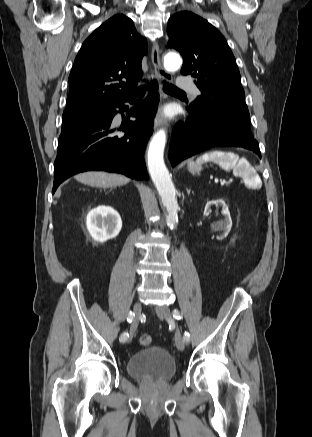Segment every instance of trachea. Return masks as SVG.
Listing matches in <instances>:
<instances>
[{
	"instance_id": "trachea-1",
	"label": "trachea",
	"mask_w": 312,
	"mask_h": 437,
	"mask_svg": "<svg viewBox=\"0 0 312 437\" xmlns=\"http://www.w3.org/2000/svg\"><path fill=\"white\" fill-rule=\"evenodd\" d=\"M163 89L166 93H182V94L185 93L184 91L178 89L177 87L169 83H165Z\"/></svg>"
}]
</instances>
